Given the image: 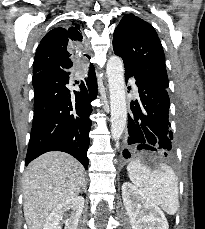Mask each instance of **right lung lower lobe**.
Returning <instances> with one entry per match:
<instances>
[{"label":"right lung lower lobe","instance_id":"1","mask_svg":"<svg viewBox=\"0 0 205 229\" xmlns=\"http://www.w3.org/2000/svg\"><path fill=\"white\" fill-rule=\"evenodd\" d=\"M69 72L50 67L32 77L34 86V118L25 165L48 151H63L88 168L87 150L91 129V101L97 95V81L93 65L89 79L80 91L71 96L66 87Z\"/></svg>","mask_w":205,"mask_h":229}]
</instances>
